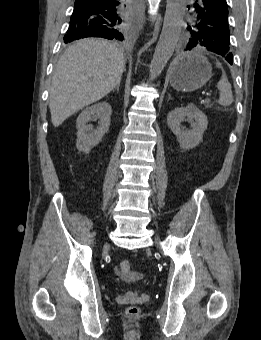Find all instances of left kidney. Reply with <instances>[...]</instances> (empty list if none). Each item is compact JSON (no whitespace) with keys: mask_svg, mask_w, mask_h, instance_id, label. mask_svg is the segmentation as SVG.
<instances>
[{"mask_svg":"<svg viewBox=\"0 0 261 340\" xmlns=\"http://www.w3.org/2000/svg\"><path fill=\"white\" fill-rule=\"evenodd\" d=\"M195 120L192 129L188 130L181 127V122L185 120ZM167 124L171 131L176 135L180 147L189 150L199 145L203 139V133L207 129V116L200 111L193 103L186 107H177L167 116Z\"/></svg>","mask_w":261,"mask_h":340,"instance_id":"1","label":"left kidney"}]
</instances>
